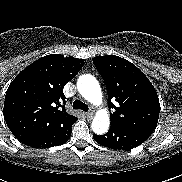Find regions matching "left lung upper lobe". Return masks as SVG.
Masks as SVG:
<instances>
[{
    "label": "left lung upper lobe",
    "mask_w": 182,
    "mask_h": 182,
    "mask_svg": "<svg viewBox=\"0 0 182 182\" xmlns=\"http://www.w3.org/2000/svg\"><path fill=\"white\" fill-rule=\"evenodd\" d=\"M93 63L108 91L111 125L153 132L160 104L152 83L134 64L115 55L96 56ZM116 101L117 103H113Z\"/></svg>",
    "instance_id": "1"
}]
</instances>
